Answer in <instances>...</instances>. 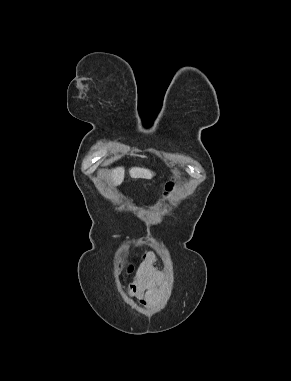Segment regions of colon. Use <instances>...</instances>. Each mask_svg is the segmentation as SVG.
Returning <instances> with one entry per match:
<instances>
[{"mask_svg":"<svg viewBox=\"0 0 291 381\" xmlns=\"http://www.w3.org/2000/svg\"><path fill=\"white\" fill-rule=\"evenodd\" d=\"M175 180H172L166 185V196L174 189Z\"/></svg>","mask_w":291,"mask_h":381,"instance_id":"obj_1","label":"colon"}]
</instances>
